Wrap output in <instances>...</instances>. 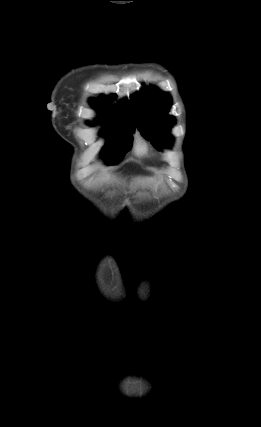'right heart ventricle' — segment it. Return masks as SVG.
Returning <instances> with one entry per match:
<instances>
[{
    "mask_svg": "<svg viewBox=\"0 0 261 427\" xmlns=\"http://www.w3.org/2000/svg\"><path fill=\"white\" fill-rule=\"evenodd\" d=\"M133 151L137 157H146L150 154V147L144 138L140 135H136L133 144Z\"/></svg>",
    "mask_w": 261,
    "mask_h": 427,
    "instance_id": "1",
    "label": "right heart ventricle"
}]
</instances>
